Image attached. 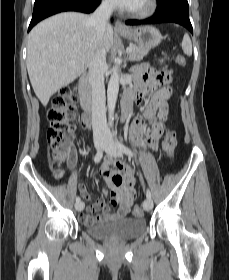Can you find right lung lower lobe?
<instances>
[{
    "label": "right lung lower lobe",
    "mask_w": 229,
    "mask_h": 280,
    "mask_svg": "<svg viewBox=\"0 0 229 280\" xmlns=\"http://www.w3.org/2000/svg\"><path fill=\"white\" fill-rule=\"evenodd\" d=\"M101 0H35L28 31L39 21L64 11L93 12Z\"/></svg>",
    "instance_id": "right-lung-lower-lobe-1"
}]
</instances>
